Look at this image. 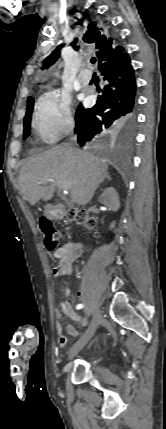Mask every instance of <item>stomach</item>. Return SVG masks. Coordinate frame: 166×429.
Wrapping results in <instances>:
<instances>
[{"label":"stomach","instance_id":"1","mask_svg":"<svg viewBox=\"0 0 166 429\" xmlns=\"http://www.w3.org/2000/svg\"><path fill=\"white\" fill-rule=\"evenodd\" d=\"M46 213H47L49 216H56V213H55L54 211L50 210V209H48V210L46 211Z\"/></svg>","mask_w":166,"mask_h":429}]
</instances>
